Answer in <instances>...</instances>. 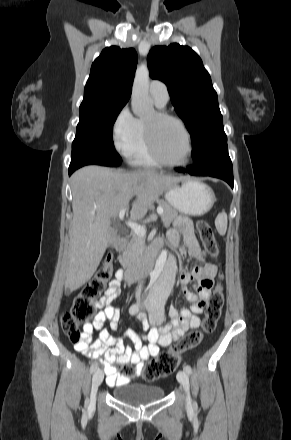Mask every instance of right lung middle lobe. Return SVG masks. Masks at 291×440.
<instances>
[{
  "label": "right lung middle lobe",
  "instance_id": "obj_1",
  "mask_svg": "<svg viewBox=\"0 0 291 440\" xmlns=\"http://www.w3.org/2000/svg\"><path fill=\"white\" fill-rule=\"evenodd\" d=\"M125 103L96 102L81 104L71 159L85 157L119 166L122 159L115 151L113 124Z\"/></svg>",
  "mask_w": 291,
  "mask_h": 440
}]
</instances>
